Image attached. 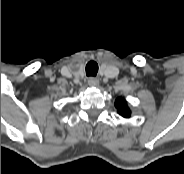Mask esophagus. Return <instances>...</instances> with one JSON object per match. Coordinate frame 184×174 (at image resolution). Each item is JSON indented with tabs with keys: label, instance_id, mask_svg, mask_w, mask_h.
<instances>
[{
	"label": "esophagus",
	"instance_id": "esophagus-1",
	"mask_svg": "<svg viewBox=\"0 0 184 174\" xmlns=\"http://www.w3.org/2000/svg\"><path fill=\"white\" fill-rule=\"evenodd\" d=\"M88 84H89L90 86H92V87H96V86L99 85V80L96 79V78H94V77H90V78L88 79Z\"/></svg>",
	"mask_w": 184,
	"mask_h": 174
}]
</instances>
